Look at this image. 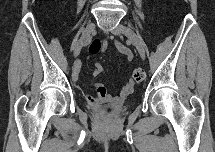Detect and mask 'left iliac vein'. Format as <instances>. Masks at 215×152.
I'll list each match as a JSON object with an SVG mask.
<instances>
[{
  "instance_id": "4c4485c4",
  "label": "left iliac vein",
  "mask_w": 215,
  "mask_h": 152,
  "mask_svg": "<svg viewBox=\"0 0 215 152\" xmlns=\"http://www.w3.org/2000/svg\"><path fill=\"white\" fill-rule=\"evenodd\" d=\"M112 33L114 35L124 34L130 40V42L136 47L140 56L143 59L145 58V51L142 42L140 38L137 36V34L131 28L120 24L112 30Z\"/></svg>"
}]
</instances>
